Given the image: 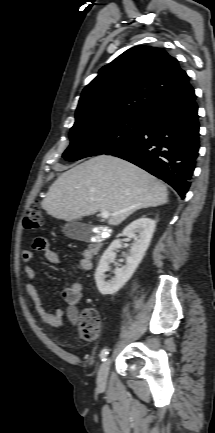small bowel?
I'll return each instance as SVG.
<instances>
[{
  "label": "small bowel",
  "mask_w": 215,
  "mask_h": 433,
  "mask_svg": "<svg viewBox=\"0 0 215 433\" xmlns=\"http://www.w3.org/2000/svg\"><path fill=\"white\" fill-rule=\"evenodd\" d=\"M34 251L43 252L45 259L53 264L59 265L61 263L59 255L51 249L48 242L43 238H37L32 244ZM22 259L26 263H31L34 260V252L31 250H25L22 253ZM93 266V254L89 249L82 250L80 259L78 262V270L80 272H87L92 269ZM25 274L28 281L25 284V290L30 299L33 302V306L40 318L48 325L59 328L64 325L65 320L71 323H76L78 320V304L83 297V284L80 281H73L69 286L65 287L61 296L67 303L68 308L66 312L59 309L49 311L45 308L39 292L35 286L36 272L30 265L25 267Z\"/></svg>",
  "instance_id": "1"
}]
</instances>
